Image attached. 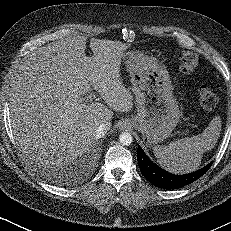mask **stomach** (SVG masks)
<instances>
[{
    "instance_id": "obj_1",
    "label": "stomach",
    "mask_w": 231,
    "mask_h": 231,
    "mask_svg": "<svg viewBox=\"0 0 231 231\" xmlns=\"http://www.w3.org/2000/svg\"><path fill=\"white\" fill-rule=\"evenodd\" d=\"M123 56L137 108L130 122L141 132L143 141L154 146L170 136L180 118L170 76L154 57L143 52L129 51Z\"/></svg>"
}]
</instances>
